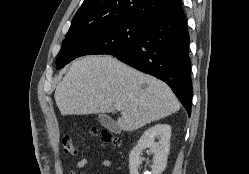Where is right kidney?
<instances>
[{"instance_id":"ca27d5eb","label":"right kidney","mask_w":249,"mask_h":174,"mask_svg":"<svg viewBox=\"0 0 249 174\" xmlns=\"http://www.w3.org/2000/svg\"><path fill=\"white\" fill-rule=\"evenodd\" d=\"M159 138L155 142V138ZM171 127L167 124H157L146 130L137 145L129 154L130 174H139L141 164L140 155L143 149L150 148L153 156L152 174H162L166 168L167 157L170 150Z\"/></svg>"}]
</instances>
